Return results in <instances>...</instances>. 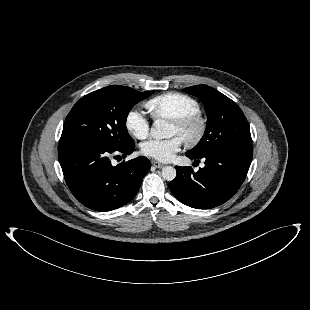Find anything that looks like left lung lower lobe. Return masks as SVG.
Segmentation results:
<instances>
[{
    "instance_id": "1",
    "label": "left lung lower lobe",
    "mask_w": 310,
    "mask_h": 310,
    "mask_svg": "<svg viewBox=\"0 0 310 310\" xmlns=\"http://www.w3.org/2000/svg\"><path fill=\"white\" fill-rule=\"evenodd\" d=\"M190 159H199L186 153ZM205 167L194 172L190 167H176L177 176L170 182L172 194L183 204L209 209L229 200L240 188L252 160L251 147H233L203 157Z\"/></svg>"
}]
</instances>
